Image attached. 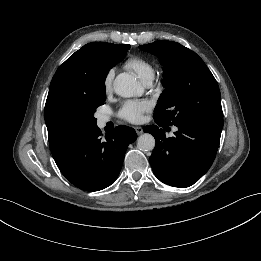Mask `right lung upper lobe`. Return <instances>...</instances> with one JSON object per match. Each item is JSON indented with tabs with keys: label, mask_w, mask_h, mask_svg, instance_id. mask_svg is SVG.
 Wrapping results in <instances>:
<instances>
[{
	"label": "right lung upper lobe",
	"mask_w": 261,
	"mask_h": 261,
	"mask_svg": "<svg viewBox=\"0 0 261 261\" xmlns=\"http://www.w3.org/2000/svg\"><path fill=\"white\" fill-rule=\"evenodd\" d=\"M122 45L105 42L88 43L71 55L56 71L45 104L44 117L52 155L59 157L70 146L61 147L54 135L56 111L65 103L91 96L98 86L97 70L103 60L117 56Z\"/></svg>",
	"instance_id": "obj_1"
}]
</instances>
